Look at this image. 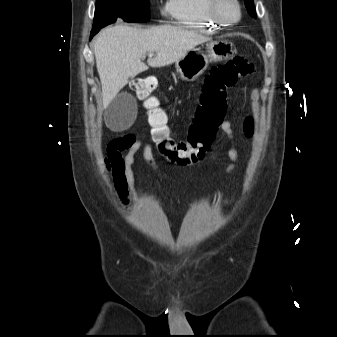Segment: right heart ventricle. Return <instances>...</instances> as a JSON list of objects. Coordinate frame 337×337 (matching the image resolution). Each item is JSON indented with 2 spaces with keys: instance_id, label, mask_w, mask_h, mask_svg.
<instances>
[{
  "instance_id": "right-heart-ventricle-1",
  "label": "right heart ventricle",
  "mask_w": 337,
  "mask_h": 337,
  "mask_svg": "<svg viewBox=\"0 0 337 337\" xmlns=\"http://www.w3.org/2000/svg\"><path fill=\"white\" fill-rule=\"evenodd\" d=\"M166 14L178 25L214 32L227 25L216 21L210 12V0H167Z\"/></svg>"
}]
</instances>
